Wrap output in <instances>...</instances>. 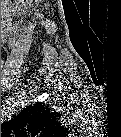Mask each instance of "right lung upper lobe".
Wrapping results in <instances>:
<instances>
[{
  "instance_id": "obj_1",
  "label": "right lung upper lobe",
  "mask_w": 121,
  "mask_h": 137,
  "mask_svg": "<svg viewBox=\"0 0 121 137\" xmlns=\"http://www.w3.org/2000/svg\"><path fill=\"white\" fill-rule=\"evenodd\" d=\"M2 130H13L19 135H51L61 128L59 122L41 102L25 108L10 123L2 124Z\"/></svg>"
}]
</instances>
